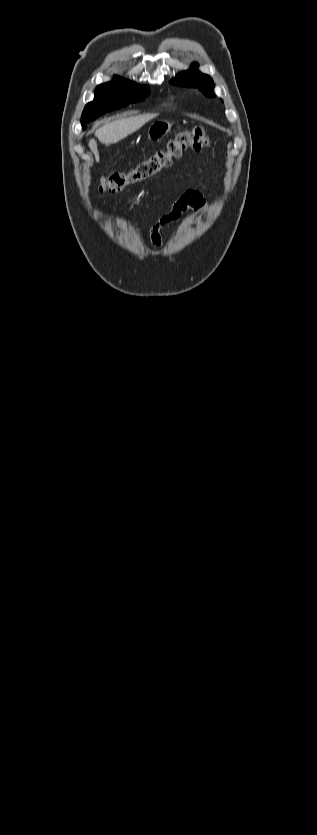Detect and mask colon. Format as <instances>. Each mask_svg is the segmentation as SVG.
<instances>
[{
    "label": "colon",
    "instance_id": "obj_1",
    "mask_svg": "<svg viewBox=\"0 0 317 835\" xmlns=\"http://www.w3.org/2000/svg\"><path fill=\"white\" fill-rule=\"evenodd\" d=\"M210 140L204 128L196 126L190 130L177 132L162 149L156 150L148 159L141 162L128 173H113L103 177L99 183L100 191L117 193L125 187L140 182L165 168L173 158L178 157L187 148L205 149Z\"/></svg>",
    "mask_w": 317,
    "mask_h": 835
}]
</instances>
